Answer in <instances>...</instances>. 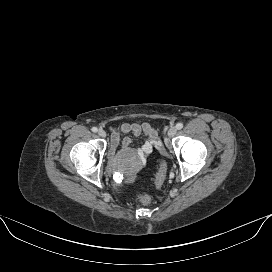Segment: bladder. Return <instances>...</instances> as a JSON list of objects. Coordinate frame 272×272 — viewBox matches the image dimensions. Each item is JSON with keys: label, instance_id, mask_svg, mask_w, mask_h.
<instances>
[{"label": "bladder", "instance_id": "31cf9c89", "mask_svg": "<svg viewBox=\"0 0 272 272\" xmlns=\"http://www.w3.org/2000/svg\"><path fill=\"white\" fill-rule=\"evenodd\" d=\"M108 158H109V159H111V158H112V155H111V154H109V155H108Z\"/></svg>", "mask_w": 272, "mask_h": 272}]
</instances>
